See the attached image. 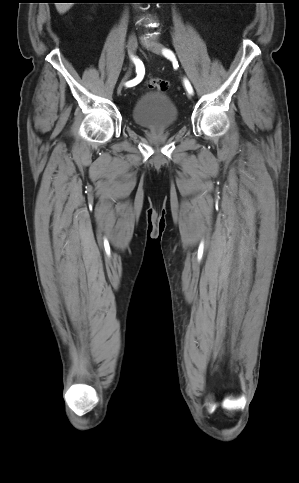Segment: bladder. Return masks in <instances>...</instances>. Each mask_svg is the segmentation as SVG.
Wrapping results in <instances>:
<instances>
[{
    "mask_svg": "<svg viewBox=\"0 0 299 483\" xmlns=\"http://www.w3.org/2000/svg\"><path fill=\"white\" fill-rule=\"evenodd\" d=\"M133 120L142 127L161 130L175 124L178 112L175 104L163 91L142 95L132 110Z\"/></svg>",
    "mask_w": 299,
    "mask_h": 483,
    "instance_id": "31cf9c89",
    "label": "bladder"
}]
</instances>
